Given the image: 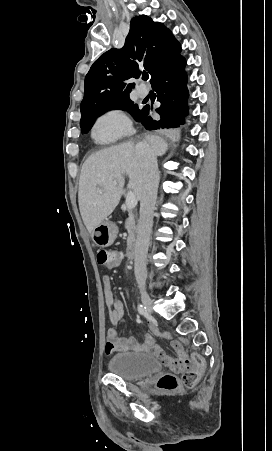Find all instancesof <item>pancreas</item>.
<instances>
[{
    "label": "pancreas",
    "mask_w": 272,
    "mask_h": 451,
    "mask_svg": "<svg viewBox=\"0 0 272 451\" xmlns=\"http://www.w3.org/2000/svg\"><path fill=\"white\" fill-rule=\"evenodd\" d=\"M125 227L128 231L127 237V249L133 247L136 239V233L138 231V227L136 226V222L134 220V214H129V218H127L125 222Z\"/></svg>",
    "instance_id": "1"
}]
</instances>
